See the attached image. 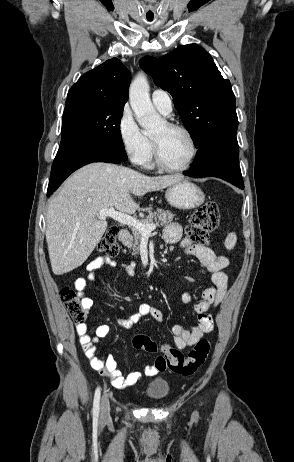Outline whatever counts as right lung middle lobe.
<instances>
[{
  "label": "right lung middle lobe",
  "instance_id": "right-lung-middle-lobe-1",
  "mask_svg": "<svg viewBox=\"0 0 294 462\" xmlns=\"http://www.w3.org/2000/svg\"><path fill=\"white\" fill-rule=\"evenodd\" d=\"M124 104L78 102L65 106L57 154L78 149L124 148L120 121Z\"/></svg>",
  "mask_w": 294,
  "mask_h": 462
}]
</instances>
